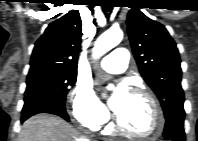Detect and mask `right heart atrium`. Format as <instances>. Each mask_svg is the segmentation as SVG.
I'll list each match as a JSON object with an SVG mask.
<instances>
[{"mask_svg":"<svg viewBox=\"0 0 198 141\" xmlns=\"http://www.w3.org/2000/svg\"><path fill=\"white\" fill-rule=\"evenodd\" d=\"M68 102L74 120L85 127L97 129L109 120L107 108L86 82L77 83L68 95Z\"/></svg>","mask_w":198,"mask_h":141,"instance_id":"1","label":"right heart atrium"}]
</instances>
